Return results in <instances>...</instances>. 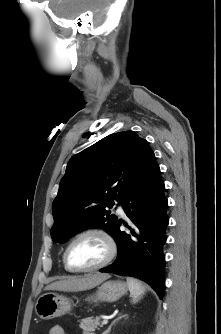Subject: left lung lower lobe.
Here are the masks:
<instances>
[{"instance_id": "left-lung-lower-lobe-1", "label": "left lung lower lobe", "mask_w": 221, "mask_h": 334, "mask_svg": "<svg viewBox=\"0 0 221 334\" xmlns=\"http://www.w3.org/2000/svg\"><path fill=\"white\" fill-rule=\"evenodd\" d=\"M164 190L160 168L154 158L122 200V207L131 221L130 232H122L121 222H117L112 234L118 246L117 259L100 270L142 279L160 298L164 293L163 246L169 222Z\"/></svg>"}]
</instances>
